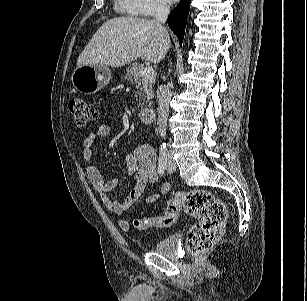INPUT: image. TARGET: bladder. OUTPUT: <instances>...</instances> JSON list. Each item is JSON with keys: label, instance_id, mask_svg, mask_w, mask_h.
I'll return each mask as SVG.
<instances>
[{"label": "bladder", "instance_id": "1", "mask_svg": "<svg viewBox=\"0 0 307 301\" xmlns=\"http://www.w3.org/2000/svg\"><path fill=\"white\" fill-rule=\"evenodd\" d=\"M180 236L172 234L158 240L153 246V251L166 257H177Z\"/></svg>", "mask_w": 307, "mask_h": 301}]
</instances>
